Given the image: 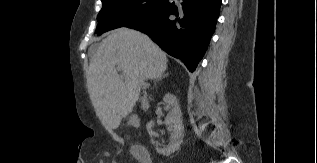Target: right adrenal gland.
Segmentation results:
<instances>
[{
    "label": "right adrenal gland",
    "mask_w": 317,
    "mask_h": 163,
    "mask_svg": "<svg viewBox=\"0 0 317 163\" xmlns=\"http://www.w3.org/2000/svg\"><path fill=\"white\" fill-rule=\"evenodd\" d=\"M167 76H168V74H167V73H164L162 76H160L159 78H157V79L154 81V83H155L156 81L161 80L162 78L167 77ZM148 86H149V85H148Z\"/></svg>",
    "instance_id": "2a0ac1e0"
}]
</instances>
